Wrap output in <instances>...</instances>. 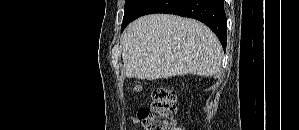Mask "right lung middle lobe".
Here are the masks:
<instances>
[{"label": "right lung middle lobe", "mask_w": 299, "mask_h": 130, "mask_svg": "<svg viewBox=\"0 0 299 130\" xmlns=\"http://www.w3.org/2000/svg\"><path fill=\"white\" fill-rule=\"evenodd\" d=\"M147 0H126L125 1V11L123 17V23L121 26V32L130 23L133 19L135 13L139 10V8L146 2Z\"/></svg>", "instance_id": "dd1d6c3e"}]
</instances>
